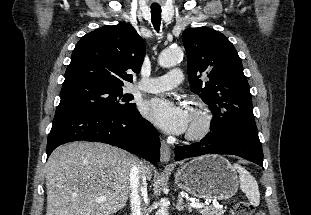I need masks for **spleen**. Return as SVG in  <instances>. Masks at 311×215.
Instances as JSON below:
<instances>
[{
    "label": "spleen",
    "instance_id": "spleen-1",
    "mask_svg": "<svg viewBox=\"0 0 311 215\" xmlns=\"http://www.w3.org/2000/svg\"><path fill=\"white\" fill-rule=\"evenodd\" d=\"M233 168L239 173L241 190L253 206H258L260 204V193L255 178L239 164H234Z\"/></svg>",
    "mask_w": 311,
    "mask_h": 215
}]
</instances>
